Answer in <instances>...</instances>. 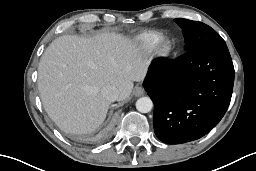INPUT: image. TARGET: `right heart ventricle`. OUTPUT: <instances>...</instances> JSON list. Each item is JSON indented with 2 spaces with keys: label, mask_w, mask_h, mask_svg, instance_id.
I'll list each match as a JSON object with an SVG mask.
<instances>
[{
  "label": "right heart ventricle",
  "mask_w": 256,
  "mask_h": 171,
  "mask_svg": "<svg viewBox=\"0 0 256 171\" xmlns=\"http://www.w3.org/2000/svg\"><path fill=\"white\" fill-rule=\"evenodd\" d=\"M162 37V32L157 30H148L138 35L137 42L143 50L151 52Z\"/></svg>",
  "instance_id": "right-heart-ventricle-1"
}]
</instances>
